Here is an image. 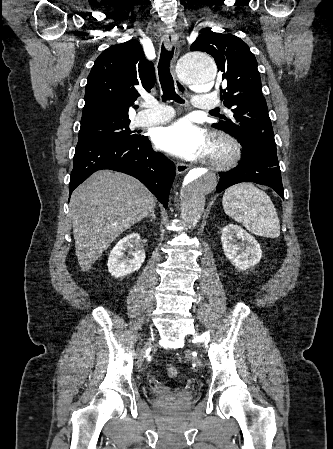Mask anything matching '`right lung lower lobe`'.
I'll list each match as a JSON object with an SVG mask.
<instances>
[{
  "instance_id": "obj_1",
  "label": "right lung lower lobe",
  "mask_w": 333,
  "mask_h": 449,
  "mask_svg": "<svg viewBox=\"0 0 333 449\" xmlns=\"http://www.w3.org/2000/svg\"><path fill=\"white\" fill-rule=\"evenodd\" d=\"M111 169L140 180L167 208L169 191L175 177V165L161 153L153 151L145 136L137 142L94 140L76 146L69 191L92 173Z\"/></svg>"
}]
</instances>
